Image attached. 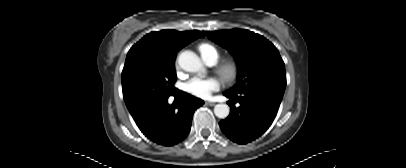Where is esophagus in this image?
Returning a JSON list of instances; mask_svg holds the SVG:
<instances>
[{
  "mask_svg": "<svg viewBox=\"0 0 406 168\" xmlns=\"http://www.w3.org/2000/svg\"><path fill=\"white\" fill-rule=\"evenodd\" d=\"M205 104L208 105V106H214L215 105L214 102H209V101H206Z\"/></svg>",
  "mask_w": 406,
  "mask_h": 168,
  "instance_id": "esophagus-1",
  "label": "esophagus"
}]
</instances>
